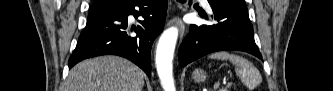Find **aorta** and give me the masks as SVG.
I'll list each match as a JSON object with an SVG mask.
<instances>
[{"instance_id":"1","label":"aorta","mask_w":333,"mask_h":91,"mask_svg":"<svg viewBox=\"0 0 333 91\" xmlns=\"http://www.w3.org/2000/svg\"><path fill=\"white\" fill-rule=\"evenodd\" d=\"M178 38V29H167L159 39L156 50V67L164 91H175L172 60Z\"/></svg>"}]
</instances>
